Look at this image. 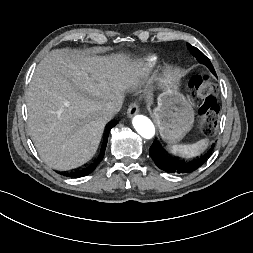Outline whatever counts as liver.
Returning <instances> with one entry per match:
<instances>
[{"instance_id":"obj_1","label":"liver","mask_w":253,"mask_h":253,"mask_svg":"<svg viewBox=\"0 0 253 253\" xmlns=\"http://www.w3.org/2000/svg\"><path fill=\"white\" fill-rule=\"evenodd\" d=\"M133 75L124 54L54 49L26 93L29 135L51 168H76L95 154L109 121L105 105L123 99Z\"/></svg>"}]
</instances>
